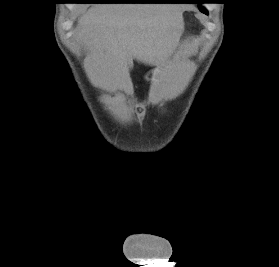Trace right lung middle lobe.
I'll list each match as a JSON object with an SVG mask.
<instances>
[{
	"label": "right lung middle lobe",
	"mask_w": 279,
	"mask_h": 267,
	"mask_svg": "<svg viewBox=\"0 0 279 267\" xmlns=\"http://www.w3.org/2000/svg\"><path fill=\"white\" fill-rule=\"evenodd\" d=\"M116 2H132V1H143V0H112Z\"/></svg>",
	"instance_id": "right-lung-middle-lobe-1"
}]
</instances>
